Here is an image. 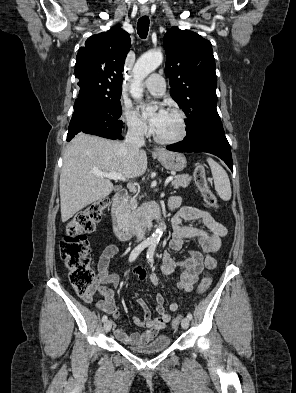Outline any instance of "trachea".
Returning <instances> with one entry per match:
<instances>
[{"label":"trachea","mask_w":296,"mask_h":393,"mask_svg":"<svg viewBox=\"0 0 296 393\" xmlns=\"http://www.w3.org/2000/svg\"><path fill=\"white\" fill-rule=\"evenodd\" d=\"M149 17L142 16L137 23V32L141 38H146L149 29Z\"/></svg>","instance_id":"1"}]
</instances>
